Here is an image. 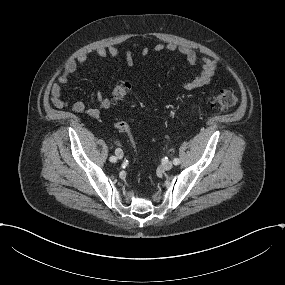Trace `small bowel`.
<instances>
[{
	"label": "small bowel",
	"instance_id": "1",
	"mask_svg": "<svg viewBox=\"0 0 285 285\" xmlns=\"http://www.w3.org/2000/svg\"><path fill=\"white\" fill-rule=\"evenodd\" d=\"M156 53L167 51L170 53H178L180 56L186 59L190 67L198 66L200 71L197 75L187 78L184 82V87L187 90H194L208 84L214 77L218 61L214 58H198L196 52L189 47H179L174 43L156 44L153 48ZM149 48H143L141 56L145 57L149 54ZM95 53L100 58L110 57L115 59L119 56V49L110 45L108 47H99L95 50ZM88 60L86 53H82L76 57L68 59L62 68L56 73V81L51 84L50 87V101L57 108L68 107V102L62 97V85L68 82L69 76L79 68L83 67ZM125 61L129 66L134 63V57L131 51H126ZM97 106L87 107L84 102L76 101L71 105V108L76 113H86L93 118H98L101 111L111 106L112 102L109 97L104 96L102 93H98L96 96Z\"/></svg>",
	"mask_w": 285,
	"mask_h": 285
}]
</instances>
